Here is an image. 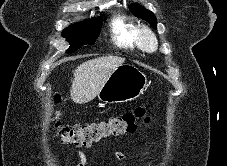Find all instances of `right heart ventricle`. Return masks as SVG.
Listing matches in <instances>:
<instances>
[{
	"label": "right heart ventricle",
	"mask_w": 227,
	"mask_h": 166,
	"mask_svg": "<svg viewBox=\"0 0 227 166\" xmlns=\"http://www.w3.org/2000/svg\"><path fill=\"white\" fill-rule=\"evenodd\" d=\"M111 34L114 44L122 49L140 50L137 40L136 25L125 16H117L111 21Z\"/></svg>",
	"instance_id": "e07e8e85"
}]
</instances>
